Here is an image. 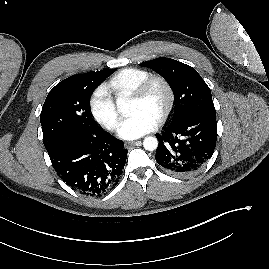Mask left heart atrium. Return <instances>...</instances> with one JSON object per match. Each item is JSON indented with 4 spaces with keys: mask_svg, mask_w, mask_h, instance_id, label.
<instances>
[{
    "mask_svg": "<svg viewBox=\"0 0 269 269\" xmlns=\"http://www.w3.org/2000/svg\"><path fill=\"white\" fill-rule=\"evenodd\" d=\"M157 124V120L149 114L136 112L120 124L118 134L123 139H137L153 131Z\"/></svg>",
    "mask_w": 269,
    "mask_h": 269,
    "instance_id": "39dd6f15",
    "label": "left heart atrium"
}]
</instances>
